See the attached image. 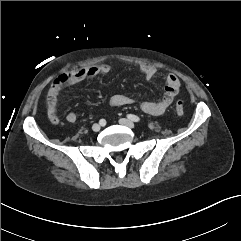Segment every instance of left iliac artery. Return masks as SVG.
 <instances>
[{"label": "left iliac artery", "instance_id": "44dca946", "mask_svg": "<svg viewBox=\"0 0 241 241\" xmlns=\"http://www.w3.org/2000/svg\"><path fill=\"white\" fill-rule=\"evenodd\" d=\"M127 117L130 120L134 121V122H139L140 121V118L138 116H136V115H133V114H128Z\"/></svg>", "mask_w": 241, "mask_h": 241}]
</instances>
